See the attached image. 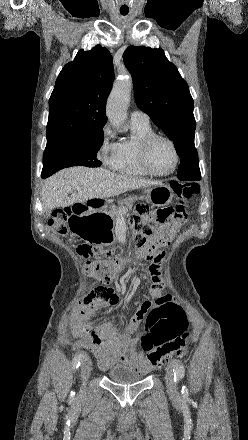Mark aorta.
<instances>
[{
    "mask_svg": "<svg viewBox=\"0 0 248 440\" xmlns=\"http://www.w3.org/2000/svg\"><path fill=\"white\" fill-rule=\"evenodd\" d=\"M132 87L131 76L129 74H123L109 95L106 114L110 123L117 129H119L127 119V106Z\"/></svg>",
    "mask_w": 248,
    "mask_h": 440,
    "instance_id": "obj_1",
    "label": "aorta"
}]
</instances>
